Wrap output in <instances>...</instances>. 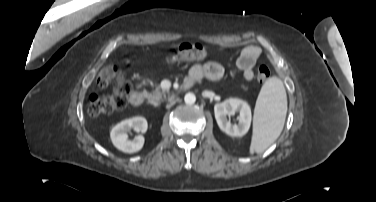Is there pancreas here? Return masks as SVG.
<instances>
[{"label":"pancreas","mask_w":376,"mask_h":202,"mask_svg":"<svg viewBox=\"0 0 376 202\" xmlns=\"http://www.w3.org/2000/svg\"><path fill=\"white\" fill-rule=\"evenodd\" d=\"M166 90H162L160 87H157L153 93L147 95L148 102L153 105L160 103L163 97H166Z\"/></svg>","instance_id":"1"}]
</instances>
